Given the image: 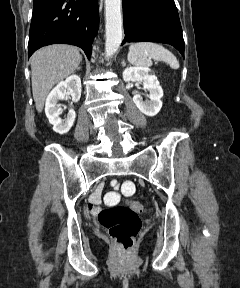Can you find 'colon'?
<instances>
[{"label": "colon", "instance_id": "1", "mask_svg": "<svg viewBox=\"0 0 240 288\" xmlns=\"http://www.w3.org/2000/svg\"><path fill=\"white\" fill-rule=\"evenodd\" d=\"M125 192L133 190L131 183L123 185ZM144 210L139 201H129L127 205H119L103 209L98 214L99 223L107 230L110 238L124 252L132 250L141 229L139 214Z\"/></svg>", "mask_w": 240, "mask_h": 288}]
</instances>
